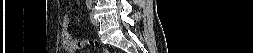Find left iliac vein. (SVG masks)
Wrapping results in <instances>:
<instances>
[{
	"instance_id": "1",
	"label": "left iliac vein",
	"mask_w": 253,
	"mask_h": 53,
	"mask_svg": "<svg viewBox=\"0 0 253 53\" xmlns=\"http://www.w3.org/2000/svg\"><path fill=\"white\" fill-rule=\"evenodd\" d=\"M90 21L93 25L98 26L99 25V21L94 17L93 12L90 13Z\"/></svg>"
}]
</instances>
